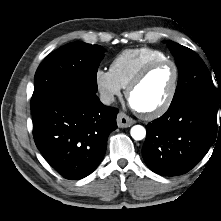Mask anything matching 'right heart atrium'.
<instances>
[{"mask_svg": "<svg viewBox=\"0 0 221 221\" xmlns=\"http://www.w3.org/2000/svg\"><path fill=\"white\" fill-rule=\"evenodd\" d=\"M98 92L105 103H111L121 95L122 87L115 80L110 71L98 68L94 74Z\"/></svg>", "mask_w": 221, "mask_h": 221, "instance_id": "d8ad5b80", "label": "right heart atrium"}]
</instances>
